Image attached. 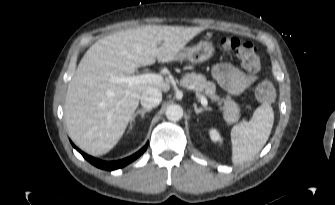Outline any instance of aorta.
<instances>
[{"label": "aorta", "instance_id": "1", "mask_svg": "<svg viewBox=\"0 0 335 205\" xmlns=\"http://www.w3.org/2000/svg\"><path fill=\"white\" fill-rule=\"evenodd\" d=\"M183 116V109L180 105L172 104L166 109V117L171 121H178Z\"/></svg>", "mask_w": 335, "mask_h": 205}]
</instances>
